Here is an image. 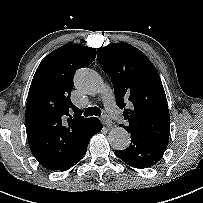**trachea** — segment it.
Masks as SVG:
<instances>
[{"instance_id":"1","label":"trachea","mask_w":203,"mask_h":203,"mask_svg":"<svg viewBox=\"0 0 203 203\" xmlns=\"http://www.w3.org/2000/svg\"><path fill=\"white\" fill-rule=\"evenodd\" d=\"M100 116L101 115V110L98 107H88L85 112H84V116L88 117V116Z\"/></svg>"}]
</instances>
